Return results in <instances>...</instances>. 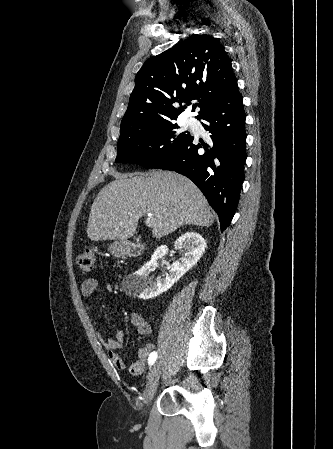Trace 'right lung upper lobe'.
I'll list each match as a JSON object with an SVG mask.
<instances>
[{
  "label": "right lung upper lobe",
  "mask_w": 333,
  "mask_h": 449,
  "mask_svg": "<svg viewBox=\"0 0 333 449\" xmlns=\"http://www.w3.org/2000/svg\"><path fill=\"white\" fill-rule=\"evenodd\" d=\"M239 94L231 60L210 35H196L149 58L135 78V88L121 121L118 141L176 120L197 100L200 118L217 102Z\"/></svg>",
  "instance_id": "cb5924a9"
}]
</instances>
